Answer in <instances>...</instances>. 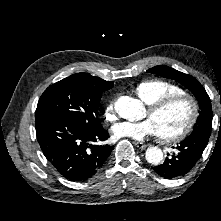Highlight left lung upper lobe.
Segmentation results:
<instances>
[{
  "mask_svg": "<svg viewBox=\"0 0 221 221\" xmlns=\"http://www.w3.org/2000/svg\"><path fill=\"white\" fill-rule=\"evenodd\" d=\"M147 72L174 79L188 88L197 98L200 106V115L192 133L200 131L211 132L212 127V106L211 100L204 87L191 75L182 73L165 65L155 66Z\"/></svg>",
  "mask_w": 221,
  "mask_h": 221,
  "instance_id": "1",
  "label": "left lung upper lobe"
}]
</instances>
